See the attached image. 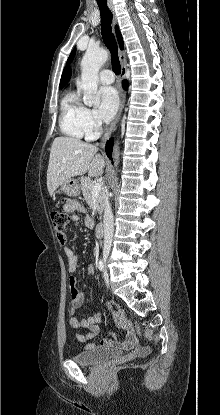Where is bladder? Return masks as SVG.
<instances>
[{
	"instance_id": "bladder-1",
	"label": "bladder",
	"mask_w": 220,
	"mask_h": 415,
	"mask_svg": "<svg viewBox=\"0 0 220 415\" xmlns=\"http://www.w3.org/2000/svg\"><path fill=\"white\" fill-rule=\"evenodd\" d=\"M119 351L107 350L97 347L87 348L79 351L73 356V360L82 365L96 364L108 359L116 358Z\"/></svg>"
}]
</instances>
